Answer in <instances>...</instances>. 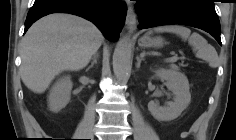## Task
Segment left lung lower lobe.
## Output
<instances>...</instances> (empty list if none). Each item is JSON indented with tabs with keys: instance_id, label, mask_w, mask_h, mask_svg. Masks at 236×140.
Wrapping results in <instances>:
<instances>
[{
	"instance_id": "1",
	"label": "left lung lower lobe",
	"mask_w": 236,
	"mask_h": 140,
	"mask_svg": "<svg viewBox=\"0 0 236 140\" xmlns=\"http://www.w3.org/2000/svg\"><path fill=\"white\" fill-rule=\"evenodd\" d=\"M139 28L180 24L210 33L221 44L220 23L213 0H137Z\"/></svg>"
}]
</instances>
